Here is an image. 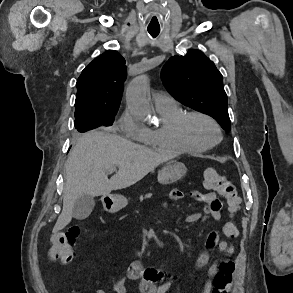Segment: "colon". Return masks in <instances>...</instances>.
<instances>
[{
    "label": "colon",
    "mask_w": 293,
    "mask_h": 293,
    "mask_svg": "<svg viewBox=\"0 0 293 293\" xmlns=\"http://www.w3.org/2000/svg\"><path fill=\"white\" fill-rule=\"evenodd\" d=\"M204 186L219 192L227 201L228 211L234 216L240 209L241 198L235 186L215 169H206L203 173ZM82 228L79 225L70 227L65 232L56 233L48 249V256L52 260H60L62 263H70L75 255V246L81 235ZM222 233L228 238L238 236V228L233 220L224 223ZM235 264L232 259L223 260L214 277L212 293H228L231 289Z\"/></svg>",
    "instance_id": "colon-1"
}]
</instances>
